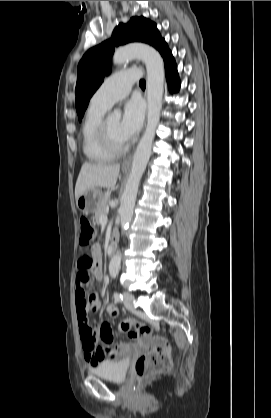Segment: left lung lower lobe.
I'll return each instance as SVG.
<instances>
[{
  "label": "left lung lower lobe",
  "instance_id": "obj_1",
  "mask_svg": "<svg viewBox=\"0 0 271 418\" xmlns=\"http://www.w3.org/2000/svg\"><path fill=\"white\" fill-rule=\"evenodd\" d=\"M158 51L164 59L165 74L169 85V89L171 92L178 91L180 88V81L177 72V66L172 56V53L169 50L165 41L162 43Z\"/></svg>",
  "mask_w": 271,
  "mask_h": 418
}]
</instances>
